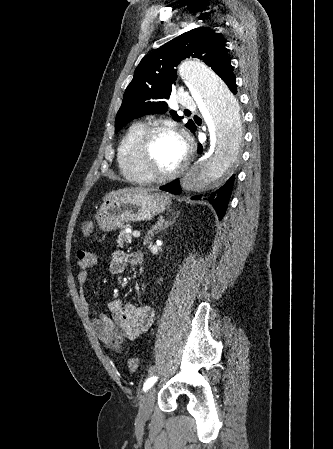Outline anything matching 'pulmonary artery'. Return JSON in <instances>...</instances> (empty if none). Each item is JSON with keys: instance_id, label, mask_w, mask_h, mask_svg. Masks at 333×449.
<instances>
[{"instance_id": "obj_1", "label": "pulmonary artery", "mask_w": 333, "mask_h": 449, "mask_svg": "<svg viewBox=\"0 0 333 449\" xmlns=\"http://www.w3.org/2000/svg\"><path fill=\"white\" fill-rule=\"evenodd\" d=\"M181 105L186 109H195L196 103L194 99L187 93H183L180 97Z\"/></svg>"}]
</instances>
